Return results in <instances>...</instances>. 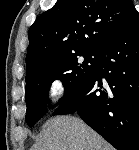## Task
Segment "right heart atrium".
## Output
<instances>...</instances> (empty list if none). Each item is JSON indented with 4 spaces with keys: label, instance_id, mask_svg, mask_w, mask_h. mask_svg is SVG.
<instances>
[{
    "label": "right heart atrium",
    "instance_id": "right-heart-atrium-1",
    "mask_svg": "<svg viewBox=\"0 0 139 150\" xmlns=\"http://www.w3.org/2000/svg\"><path fill=\"white\" fill-rule=\"evenodd\" d=\"M64 93V84L61 79L56 78L51 81L48 87L49 101L52 105H58Z\"/></svg>",
    "mask_w": 139,
    "mask_h": 150
}]
</instances>
